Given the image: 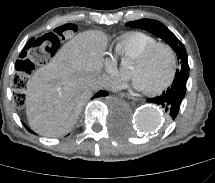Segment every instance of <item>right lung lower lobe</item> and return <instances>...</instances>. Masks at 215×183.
<instances>
[{"mask_svg":"<svg viewBox=\"0 0 215 183\" xmlns=\"http://www.w3.org/2000/svg\"><path fill=\"white\" fill-rule=\"evenodd\" d=\"M108 93L106 91L100 90L94 97L106 96ZM26 127V126H25ZM30 132H32L28 127H26Z\"/></svg>","mask_w":215,"mask_h":183,"instance_id":"1","label":"right lung lower lobe"}]
</instances>
